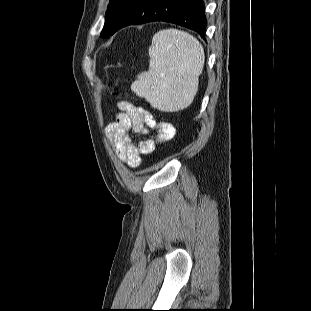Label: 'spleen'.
Here are the masks:
<instances>
[{"label": "spleen", "mask_w": 311, "mask_h": 311, "mask_svg": "<svg viewBox=\"0 0 311 311\" xmlns=\"http://www.w3.org/2000/svg\"><path fill=\"white\" fill-rule=\"evenodd\" d=\"M149 70L137 76L131 90L164 112L187 108L198 90L204 49L191 34L178 29L157 32L149 47Z\"/></svg>", "instance_id": "obj_1"}]
</instances>
